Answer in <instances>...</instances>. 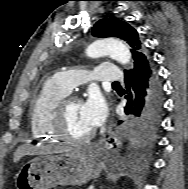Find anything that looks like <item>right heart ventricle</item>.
<instances>
[{
  "label": "right heart ventricle",
  "mask_w": 188,
  "mask_h": 189,
  "mask_svg": "<svg viewBox=\"0 0 188 189\" xmlns=\"http://www.w3.org/2000/svg\"><path fill=\"white\" fill-rule=\"evenodd\" d=\"M69 93L54 78L47 80L30 107V131L36 141L56 142L51 117L58 102Z\"/></svg>",
  "instance_id": "1"
}]
</instances>
